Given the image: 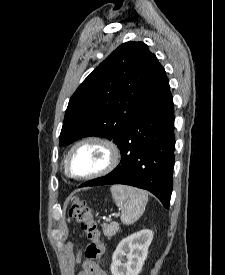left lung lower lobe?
<instances>
[{
  "instance_id": "left-lung-lower-lobe-1",
  "label": "left lung lower lobe",
  "mask_w": 225,
  "mask_h": 275,
  "mask_svg": "<svg viewBox=\"0 0 225 275\" xmlns=\"http://www.w3.org/2000/svg\"><path fill=\"white\" fill-rule=\"evenodd\" d=\"M174 108L169 81L145 105L124 133L120 164L80 187L126 184L153 193L169 208L174 168Z\"/></svg>"
}]
</instances>
